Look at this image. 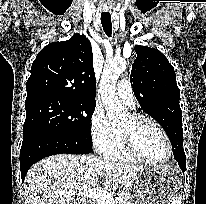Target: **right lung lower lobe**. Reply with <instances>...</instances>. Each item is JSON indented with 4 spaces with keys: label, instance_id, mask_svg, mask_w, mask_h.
Instances as JSON below:
<instances>
[{
    "label": "right lung lower lobe",
    "instance_id": "obj_1",
    "mask_svg": "<svg viewBox=\"0 0 206 204\" xmlns=\"http://www.w3.org/2000/svg\"><path fill=\"white\" fill-rule=\"evenodd\" d=\"M92 147L77 142L76 140L45 130H34L23 136L20 150V171L22 182L29 168L47 156L67 154H88Z\"/></svg>",
    "mask_w": 206,
    "mask_h": 204
}]
</instances>
